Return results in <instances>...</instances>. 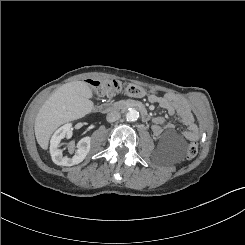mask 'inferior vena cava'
Here are the masks:
<instances>
[{
    "mask_svg": "<svg viewBox=\"0 0 245 245\" xmlns=\"http://www.w3.org/2000/svg\"><path fill=\"white\" fill-rule=\"evenodd\" d=\"M121 117V114L119 111L117 110H112L111 112H109L106 116V119L108 122H115L117 120H119Z\"/></svg>",
    "mask_w": 245,
    "mask_h": 245,
    "instance_id": "obj_1",
    "label": "inferior vena cava"
}]
</instances>
